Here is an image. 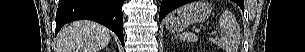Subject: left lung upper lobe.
<instances>
[{
    "instance_id": "left-lung-upper-lobe-1",
    "label": "left lung upper lobe",
    "mask_w": 305,
    "mask_h": 52,
    "mask_svg": "<svg viewBox=\"0 0 305 52\" xmlns=\"http://www.w3.org/2000/svg\"><path fill=\"white\" fill-rule=\"evenodd\" d=\"M239 6H242L243 3L241 1H235Z\"/></svg>"
}]
</instances>
